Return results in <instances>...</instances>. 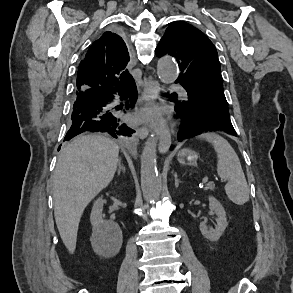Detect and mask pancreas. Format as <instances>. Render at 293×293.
Instances as JSON below:
<instances>
[{
	"label": "pancreas",
	"mask_w": 293,
	"mask_h": 293,
	"mask_svg": "<svg viewBox=\"0 0 293 293\" xmlns=\"http://www.w3.org/2000/svg\"><path fill=\"white\" fill-rule=\"evenodd\" d=\"M215 189V185L214 183L210 182L208 183L205 187H204V190H211L213 191Z\"/></svg>",
	"instance_id": "obj_1"
}]
</instances>
